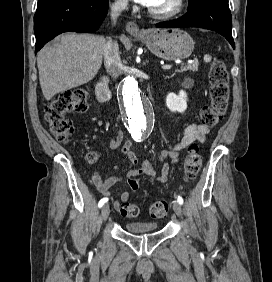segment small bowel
I'll use <instances>...</instances> for the list:
<instances>
[{
  "mask_svg": "<svg viewBox=\"0 0 272 282\" xmlns=\"http://www.w3.org/2000/svg\"><path fill=\"white\" fill-rule=\"evenodd\" d=\"M209 133V127L205 125H197L191 124L188 125L180 137L178 138L177 142L173 144H169L167 148L163 149L158 158L157 164H162V170L157 180L164 183L168 180V176L171 170V165L165 162L167 157L172 159V162H177L179 159V153L182 149L186 148L187 146L191 145L192 143L199 141L203 142L205 139L206 134ZM123 140L122 132H118L116 135L111 136L105 142L108 147L111 149H118L121 142ZM121 154L123 156L122 161L125 162L127 159L133 165H138L140 163V167L138 169L130 170L129 175L131 176H139L142 174H146L152 177H156V172L154 169L155 163L149 160H143L142 162L139 161L138 157L134 153L133 150V142L128 141L123 148L121 149ZM121 180L120 176H111L107 179H103L99 172H93L91 174V182L97 188V190L103 194L104 196L110 197V194L113 190V187L119 183ZM132 190H138L139 185L130 186ZM129 199V193L123 192L120 196V200H114L111 198V201L116 209H119L122 203L127 202Z\"/></svg>",
  "mask_w": 272,
  "mask_h": 282,
  "instance_id": "small-bowel-1",
  "label": "small bowel"
}]
</instances>
